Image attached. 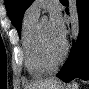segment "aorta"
I'll list each match as a JSON object with an SVG mask.
<instances>
[{"label":"aorta","mask_w":89,"mask_h":89,"mask_svg":"<svg viewBox=\"0 0 89 89\" xmlns=\"http://www.w3.org/2000/svg\"><path fill=\"white\" fill-rule=\"evenodd\" d=\"M69 15L71 23V38L76 41L79 36V16L76 0H69Z\"/></svg>","instance_id":"aorta-1"}]
</instances>
